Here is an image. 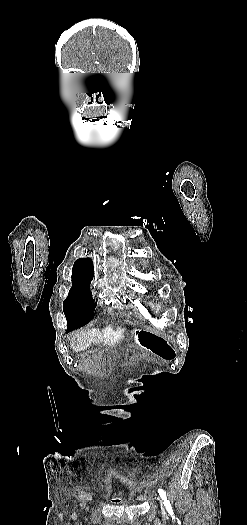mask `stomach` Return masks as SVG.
<instances>
[{"label":"stomach","instance_id":"1","mask_svg":"<svg viewBox=\"0 0 247 525\" xmlns=\"http://www.w3.org/2000/svg\"><path fill=\"white\" fill-rule=\"evenodd\" d=\"M135 344L163 361L175 358V350L170 340L147 329H135L132 334Z\"/></svg>","mask_w":247,"mask_h":525}]
</instances>
